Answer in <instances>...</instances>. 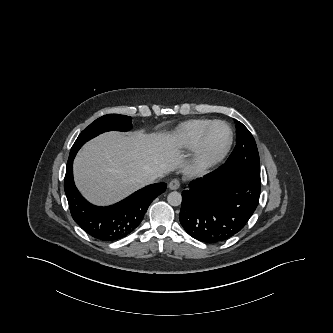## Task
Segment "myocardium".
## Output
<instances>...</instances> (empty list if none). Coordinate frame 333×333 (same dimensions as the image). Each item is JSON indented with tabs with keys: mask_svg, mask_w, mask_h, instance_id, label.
I'll list each match as a JSON object with an SVG mask.
<instances>
[{
	"mask_svg": "<svg viewBox=\"0 0 333 333\" xmlns=\"http://www.w3.org/2000/svg\"><path fill=\"white\" fill-rule=\"evenodd\" d=\"M217 125H223L227 129V137L221 147L211 149V136ZM233 143V132L230 125L223 120L213 121L197 144L193 158L196 165L202 169H210L219 164L228 154Z\"/></svg>",
	"mask_w": 333,
	"mask_h": 333,
	"instance_id": "f54148a6",
	"label": "myocardium"
}]
</instances>
